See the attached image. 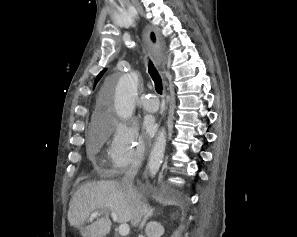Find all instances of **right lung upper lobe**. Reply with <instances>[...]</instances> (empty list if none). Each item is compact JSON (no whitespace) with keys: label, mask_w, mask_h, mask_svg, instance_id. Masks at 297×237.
I'll return each instance as SVG.
<instances>
[{"label":"right lung upper lobe","mask_w":297,"mask_h":237,"mask_svg":"<svg viewBox=\"0 0 297 237\" xmlns=\"http://www.w3.org/2000/svg\"><path fill=\"white\" fill-rule=\"evenodd\" d=\"M152 38H154V35H152ZM104 72H105V70H103V71H101V72L99 73V75L97 76V78H96V80H95V85H96V83L100 80V78L102 77V75L104 74Z\"/></svg>","instance_id":"1"}]
</instances>
